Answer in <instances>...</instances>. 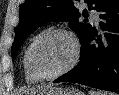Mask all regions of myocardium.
I'll return each mask as SVG.
<instances>
[{"label": "myocardium", "mask_w": 119, "mask_h": 95, "mask_svg": "<svg viewBox=\"0 0 119 95\" xmlns=\"http://www.w3.org/2000/svg\"><path fill=\"white\" fill-rule=\"evenodd\" d=\"M58 34L67 36L72 41L74 46L73 57L71 61L60 71L50 75L42 74L41 72L37 70V68L34 65V61H33L34 50L36 46L38 45V43L44 38L52 36V35H58ZM80 56H81V45L78 38L75 36V34H73L71 31L64 28H55V29L46 30L35 37V39L30 44L28 52H27V63L32 74L35 75L38 79L53 80L71 71L78 64L80 60Z\"/></svg>", "instance_id": "myocardium-1"}]
</instances>
